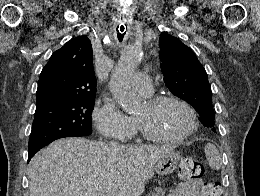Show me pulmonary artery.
Wrapping results in <instances>:
<instances>
[{
  "label": "pulmonary artery",
  "mask_w": 260,
  "mask_h": 196,
  "mask_svg": "<svg viewBox=\"0 0 260 196\" xmlns=\"http://www.w3.org/2000/svg\"><path fill=\"white\" fill-rule=\"evenodd\" d=\"M129 83L132 84L133 90H136L143 96H150L153 92L151 84V76H146V72H137L136 79H130Z\"/></svg>",
  "instance_id": "1"
}]
</instances>
